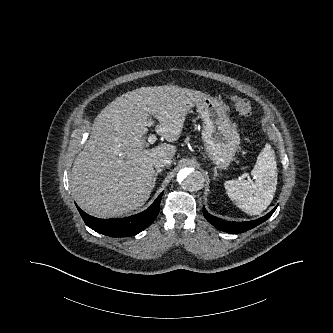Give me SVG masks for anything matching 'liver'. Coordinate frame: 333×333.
I'll use <instances>...</instances> for the list:
<instances>
[{
	"instance_id": "liver-1",
	"label": "liver",
	"mask_w": 333,
	"mask_h": 333,
	"mask_svg": "<svg viewBox=\"0 0 333 333\" xmlns=\"http://www.w3.org/2000/svg\"><path fill=\"white\" fill-rule=\"evenodd\" d=\"M205 97L200 91L163 85L135 89L106 106L69 177L78 205L99 218L120 217L143 206L153 189V160L176 153L167 143L148 148V118L159 121L160 136L176 142L188 112Z\"/></svg>"
}]
</instances>
